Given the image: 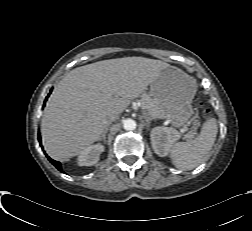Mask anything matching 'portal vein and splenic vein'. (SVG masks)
<instances>
[{"mask_svg":"<svg viewBox=\"0 0 252 231\" xmlns=\"http://www.w3.org/2000/svg\"><path fill=\"white\" fill-rule=\"evenodd\" d=\"M142 108H143L144 110L148 111V113H149L152 117H154L153 113L150 112V111L148 110V108H147L146 106H144L143 104H142ZM180 131H181V133H187V132H188V128H187L186 126H184V127H182V128L180 129Z\"/></svg>","mask_w":252,"mask_h":231,"instance_id":"obj_1","label":"portal vein and splenic vein"}]
</instances>
